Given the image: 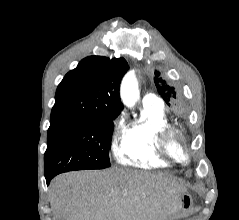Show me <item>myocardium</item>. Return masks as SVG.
Wrapping results in <instances>:
<instances>
[{"instance_id": "myocardium-1", "label": "myocardium", "mask_w": 239, "mask_h": 220, "mask_svg": "<svg viewBox=\"0 0 239 220\" xmlns=\"http://www.w3.org/2000/svg\"><path fill=\"white\" fill-rule=\"evenodd\" d=\"M156 142L158 151L164 158L178 164L186 163L189 160L190 155L184 137L174 127L168 126L162 129L158 133ZM173 142L178 143L181 150L180 155H177L172 151Z\"/></svg>"}]
</instances>
